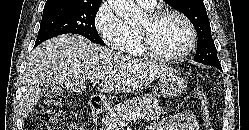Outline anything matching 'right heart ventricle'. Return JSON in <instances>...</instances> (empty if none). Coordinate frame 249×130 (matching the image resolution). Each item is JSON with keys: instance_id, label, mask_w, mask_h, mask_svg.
Masks as SVG:
<instances>
[{"instance_id": "obj_1", "label": "right heart ventricle", "mask_w": 249, "mask_h": 130, "mask_svg": "<svg viewBox=\"0 0 249 130\" xmlns=\"http://www.w3.org/2000/svg\"><path fill=\"white\" fill-rule=\"evenodd\" d=\"M142 6L148 10H152L154 8L147 7L144 5ZM119 49L124 53L134 57H142L146 55L141 44L137 26L125 24L124 35L122 37Z\"/></svg>"}]
</instances>
